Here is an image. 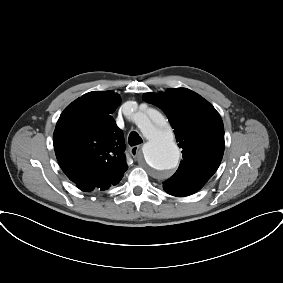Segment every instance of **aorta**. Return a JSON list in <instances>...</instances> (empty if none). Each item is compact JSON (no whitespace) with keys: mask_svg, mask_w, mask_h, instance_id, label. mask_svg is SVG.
<instances>
[{"mask_svg":"<svg viewBox=\"0 0 283 283\" xmlns=\"http://www.w3.org/2000/svg\"><path fill=\"white\" fill-rule=\"evenodd\" d=\"M131 119L147 139L143 154L149 167L159 173L174 169L180 152L164 117L158 111L149 109L146 113L133 115Z\"/></svg>","mask_w":283,"mask_h":283,"instance_id":"aorta-1","label":"aorta"}]
</instances>
